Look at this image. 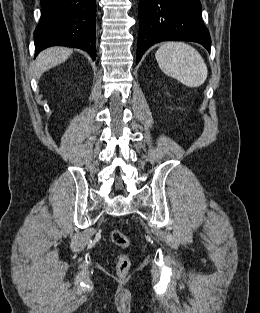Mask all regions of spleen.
<instances>
[{
  "label": "spleen",
  "instance_id": "1",
  "mask_svg": "<svg viewBox=\"0 0 260 313\" xmlns=\"http://www.w3.org/2000/svg\"><path fill=\"white\" fill-rule=\"evenodd\" d=\"M155 57L160 69L183 85L201 86L208 75V69L198 51L184 42H166L159 47Z\"/></svg>",
  "mask_w": 260,
  "mask_h": 313
}]
</instances>
